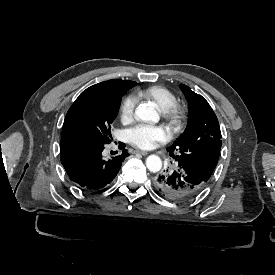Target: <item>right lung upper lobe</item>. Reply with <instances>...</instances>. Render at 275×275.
Listing matches in <instances>:
<instances>
[{"label":"right lung upper lobe","mask_w":275,"mask_h":275,"mask_svg":"<svg viewBox=\"0 0 275 275\" xmlns=\"http://www.w3.org/2000/svg\"><path fill=\"white\" fill-rule=\"evenodd\" d=\"M136 85V82L129 80H108L95 84L83 91L75 102L112 95H124L125 92Z\"/></svg>","instance_id":"obj_1"}]
</instances>
